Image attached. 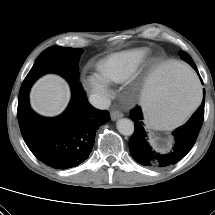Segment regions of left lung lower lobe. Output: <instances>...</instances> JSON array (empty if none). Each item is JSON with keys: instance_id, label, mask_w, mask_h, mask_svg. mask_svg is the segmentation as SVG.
I'll return each mask as SVG.
<instances>
[{"instance_id": "1", "label": "left lung lower lobe", "mask_w": 215, "mask_h": 215, "mask_svg": "<svg viewBox=\"0 0 215 215\" xmlns=\"http://www.w3.org/2000/svg\"><path fill=\"white\" fill-rule=\"evenodd\" d=\"M204 101L203 98L202 104L190 120L173 132L174 146L170 151H156L150 146L143 127L141 108L132 110L130 118L135 123V131L130 138L129 149L134 160L151 168L168 167L180 161L191 150L198 137L204 118Z\"/></svg>"}]
</instances>
